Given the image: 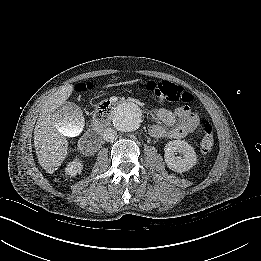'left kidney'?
I'll list each match as a JSON object with an SVG mask.
<instances>
[{
    "mask_svg": "<svg viewBox=\"0 0 261 261\" xmlns=\"http://www.w3.org/2000/svg\"><path fill=\"white\" fill-rule=\"evenodd\" d=\"M164 151L167 167L175 172L182 173L188 171L197 163V155L193 147L185 141H169ZM177 153L182 154L183 157L176 156Z\"/></svg>",
    "mask_w": 261,
    "mask_h": 261,
    "instance_id": "5707ae66",
    "label": "left kidney"
}]
</instances>
